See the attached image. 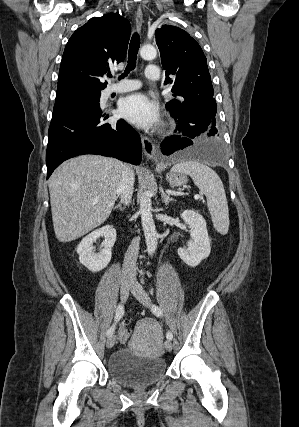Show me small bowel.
Listing matches in <instances>:
<instances>
[{
	"label": "small bowel",
	"instance_id": "small-bowel-1",
	"mask_svg": "<svg viewBox=\"0 0 299 427\" xmlns=\"http://www.w3.org/2000/svg\"><path fill=\"white\" fill-rule=\"evenodd\" d=\"M123 328H124V327H123V326H121L120 334H119V338H120V341H121V342H125V340H123V338H122V333H121V330H122Z\"/></svg>",
	"mask_w": 299,
	"mask_h": 427
}]
</instances>
